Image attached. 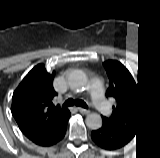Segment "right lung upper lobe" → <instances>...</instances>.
I'll use <instances>...</instances> for the list:
<instances>
[{
	"label": "right lung upper lobe",
	"mask_w": 160,
	"mask_h": 158,
	"mask_svg": "<svg viewBox=\"0 0 160 158\" xmlns=\"http://www.w3.org/2000/svg\"><path fill=\"white\" fill-rule=\"evenodd\" d=\"M44 64L36 65L13 93L11 112L22 133L30 140L62 124L70 116L65 107L54 105L57 95Z\"/></svg>",
	"instance_id": "1"
}]
</instances>
